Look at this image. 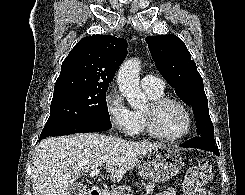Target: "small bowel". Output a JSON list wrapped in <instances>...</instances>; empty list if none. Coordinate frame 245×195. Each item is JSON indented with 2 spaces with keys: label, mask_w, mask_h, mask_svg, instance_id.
Listing matches in <instances>:
<instances>
[{
  "label": "small bowel",
  "mask_w": 245,
  "mask_h": 195,
  "mask_svg": "<svg viewBox=\"0 0 245 195\" xmlns=\"http://www.w3.org/2000/svg\"><path fill=\"white\" fill-rule=\"evenodd\" d=\"M155 195H176L173 188H166L165 190L155 194Z\"/></svg>",
  "instance_id": "1"
}]
</instances>
